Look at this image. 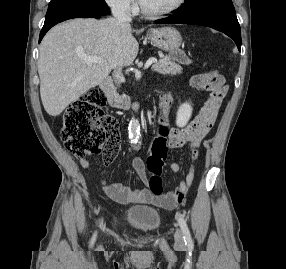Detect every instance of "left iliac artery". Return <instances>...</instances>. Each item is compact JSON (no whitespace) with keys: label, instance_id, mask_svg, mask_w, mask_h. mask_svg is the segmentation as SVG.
Returning a JSON list of instances; mask_svg holds the SVG:
<instances>
[{"label":"left iliac artery","instance_id":"44dca946","mask_svg":"<svg viewBox=\"0 0 286 269\" xmlns=\"http://www.w3.org/2000/svg\"><path fill=\"white\" fill-rule=\"evenodd\" d=\"M179 224H180V227H181L183 234H184L185 244L188 247H193V241H192V237H191L189 228L187 226L186 220L184 219V217L182 215L179 217Z\"/></svg>","mask_w":286,"mask_h":269}]
</instances>
